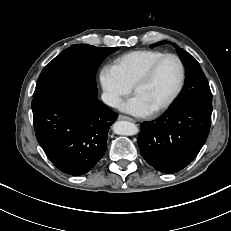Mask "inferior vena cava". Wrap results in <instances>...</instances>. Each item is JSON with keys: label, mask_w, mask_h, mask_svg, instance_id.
I'll use <instances>...</instances> for the list:
<instances>
[{"label": "inferior vena cava", "mask_w": 231, "mask_h": 231, "mask_svg": "<svg viewBox=\"0 0 231 231\" xmlns=\"http://www.w3.org/2000/svg\"><path fill=\"white\" fill-rule=\"evenodd\" d=\"M102 100L105 104L111 106V107H117L119 104V98L108 93L102 94Z\"/></svg>", "instance_id": "602c4592"}]
</instances>
